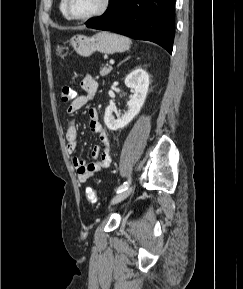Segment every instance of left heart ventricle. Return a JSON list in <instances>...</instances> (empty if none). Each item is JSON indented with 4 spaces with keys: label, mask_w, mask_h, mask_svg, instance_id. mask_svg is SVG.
Masks as SVG:
<instances>
[{
    "label": "left heart ventricle",
    "mask_w": 243,
    "mask_h": 289,
    "mask_svg": "<svg viewBox=\"0 0 243 289\" xmlns=\"http://www.w3.org/2000/svg\"><path fill=\"white\" fill-rule=\"evenodd\" d=\"M103 0H70V12L74 16H85L97 11Z\"/></svg>",
    "instance_id": "left-heart-ventricle-1"
}]
</instances>
